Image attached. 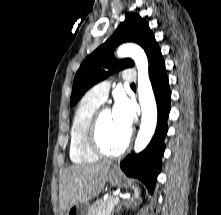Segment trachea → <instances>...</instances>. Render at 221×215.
<instances>
[{"mask_svg":"<svg viewBox=\"0 0 221 215\" xmlns=\"http://www.w3.org/2000/svg\"><path fill=\"white\" fill-rule=\"evenodd\" d=\"M131 86H135V84L133 83V84H131Z\"/></svg>","mask_w":221,"mask_h":215,"instance_id":"3493384b","label":"trachea"}]
</instances>
